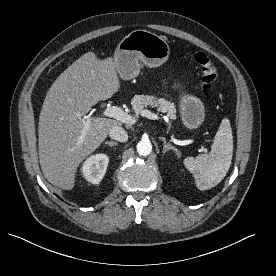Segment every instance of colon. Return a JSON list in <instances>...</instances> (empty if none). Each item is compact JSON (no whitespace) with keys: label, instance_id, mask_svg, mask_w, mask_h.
Wrapping results in <instances>:
<instances>
[{"label":"colon","instance_id":"obj_1","mask_svg":"<svg viewBox=\"0 0 276 276\" xmlns=\"http://www.w3.org/2000/svg\"><path fill=\"white\" fill-rule=\"evenodd\" d=\"M194 60L201 67L202 84L204 89H213L218 79V73L215 65L210 60V58L203 52H195Z\"/></svg>","mask_w":276,"mask_h":276}]
</instances>
